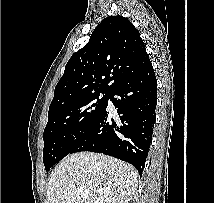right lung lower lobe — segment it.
<instances>
[{"label": "right lung lower lobe", "instance_id": "right-lung-lower-lobe-1", "mask_svg": "<svg viewBox=\"0 0 214 203\" xmlns=\"http://www.w3.org/2000/svg\"><path fill=\"white\" fill-rule=\"evenodd\" d=\"M117 109L112 116L108 100ZM157 104V80L152 64L107 93V103L88 133L70 154L92 151L132 164L143 172L152 141Z\"/></svg>", "mask_w": 214, "mask_h": 203}]
</instances>
